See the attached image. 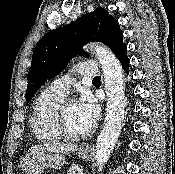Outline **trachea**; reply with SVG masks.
I'll list each match as a JSON object with an SVG mask.
<instances>
[{"instance_id":"trachea-1","label":"trachea","mask_w":175,"mask_h":174,"mask_svg":"<svg viewBox=\"0 0 175 174\" xmlns=\"http://www.w3.org/2000/svg\"><path fill=\"white\" fill-rule=\"evenodd\" d=\"M99 80H101V77H100V76H97V77H95V78L93 79V81H99Z\"/></svg>"}]
</instances>
